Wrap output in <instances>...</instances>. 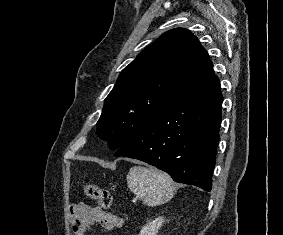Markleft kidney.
Returning a JSON list of instances; mask_svg holds the SVG:
<instances>
[{"label": "left kidney", "mask_w": 283, "mask_h": 235, "mask_svg": "<svg viewBox=\"0 0 283 235\" xmlns=\"http://www.w3.org/2000/svg\"><path fill=\"white\" fill-rule=\"evenodd\" d=\"M165 222L164 217H158L155 220L148 222L141 230L139 235H157L158 230Z\"/></svg>", "instance_id": "5707ae66"}]
</instances>
